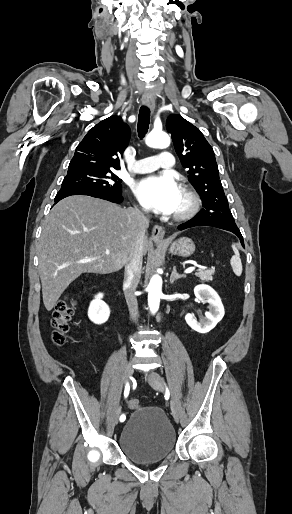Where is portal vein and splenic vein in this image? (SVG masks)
<instances>
[{
	"instance_id": "18ae733b",
	"label": "portal vein and splenic vein",
	"mask_w": 292,
	"mask_h": 514,
	"mask_svg": "<svg viewBox=\"0 0 292 514\" xmlns=\"http://www.w3.org/2000/svg\"><path fill=\"white\" fill-rule=\"evenodd\" d=\"M105 254H110V250H105ZM193 270H195V268H187V270H185V274H190Z\"/></svg>"
}]
</instances>
